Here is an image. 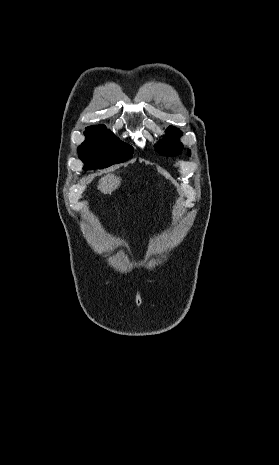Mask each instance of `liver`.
Here are the masks:
<instances>
[{"label":"liver","mask_w":279,"mask_h":465,"mask_svg":"<svg viewBox=\"0 0 279 465\" xmlns=\"http://www.w3.org/2000/svg\"><path fill=\"white\" fill-rule=\"evenodd\" d=\"M120 184V177H117L114 174H107L99 180L98 190L104 194H111L120 186Z\"/></svg>","instance_id":"6515ba94"}]
</instances>
